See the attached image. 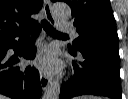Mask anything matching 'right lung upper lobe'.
<instances>
[{
    "label": "right lung upper lobe",
    "instance_id": "1",
    "mask_svg": "<svg viewBox=\"0 0 128 99\" xmlns=\"http://www.w3.org/2000/svg\"><path fill=\"white\" fill-rule=\"evenodd\" d=\"M42 5V0H0V41L32 25L31 15Z\"/></svg>",
    "mask_w": 128,
    "mask_h": 99
}]
</instances>
